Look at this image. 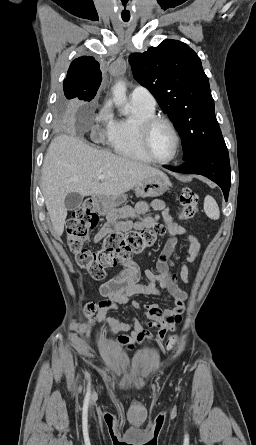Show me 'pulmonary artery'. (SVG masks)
<instances>
[{"instance_id": "1", "label": "pulmonary artery", "mask_w": 256, "mask_h": 445, "mask_svg": "<svg viewBox=\"0 0 256 445\" xmlns=\"http://www.w3.org/2000/svg\"><path fill=\"white\" fill-rule=\"evenodd\" d=\"M130 102L131 104H134L136 106L147 108V109H154L155 108V99L153 95L150 93V91L143 87V86H137L135 87L130 95Z\"/></svg>"}]
</instances>
